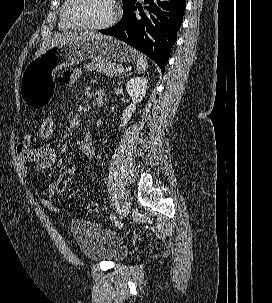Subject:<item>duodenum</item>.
Returning a JSON list of instances; mask_svg holds the SVG:
<instances>
[{
  "label": "duodenum",
  "mask_w": 272,
  "mask_h": 303,
  "mask_svg": "<svg viewBox=\"0 0 272 303\" xmlns=\"http://www.w3.org/2000/svg\"><path fill=\"white\" fill-rule=\"evenodd\" d=\"M105 101V94L102 90H99L95 93L94 102L97 107H101Z\"/></svg>",
  "instance_id": "duodenum-1"
}]
</instances>
